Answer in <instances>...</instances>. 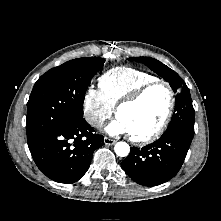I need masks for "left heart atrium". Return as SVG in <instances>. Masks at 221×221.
<instances>
[{"label":"left heart atrium","instance_id":"1","mask_svg":"<svg viewBox=\"0 0 221 221\" xmlns=\"http://www.w3.org/2000/svg\"><path fill=\"white\" fill-rule=\"evenodd\" d=\"M106 132L110 135L129 133L128 128L124 122L118 117L106 127Z\"/></svg>","mask_w":221,"mask_h":221}]
</instances>
